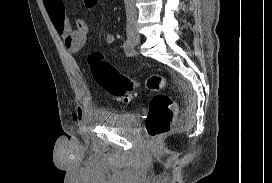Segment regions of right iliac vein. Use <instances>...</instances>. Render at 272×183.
I'll return each mask as SVG.
<instances>
[{
  "mask_svg": "<svg viewBox=\"0 0 272 183\" xmlns=\"http://www.w3.org/2000/svg\"><path fill=\"white\" fill-rule=\"evenodd\" d=\"M128 38L132 43H137L139 41V37L136 34H134L133 31L129 32Z\"/></svg>",
  "mask_w": 272,
  "mask_h": 183,
  "instance_id": "63e3f726",
  "label": "right iliac vein"
}]
</instances>
